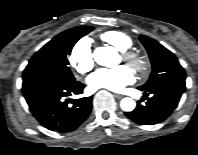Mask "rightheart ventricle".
I'll return each instance as SVG.
<instances>
[{
    "instance_id": "1",
    "label": "right heart ventricle",
    "mask_w": 198,
    "mask_h": 155,
    "mask_svg": "<svg viewBox=\"0 0 198 155\" xmlns=\"http://www.w3.org/2000/svg\"><path fill=\"white\" fill-rule=\"evenodd\" d=\"M101 39L114 46L120 51L128 50L132 46V40L125 33L120 31H107L101 34Z\"/></svg>"
}]
</instances>
